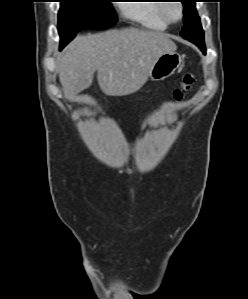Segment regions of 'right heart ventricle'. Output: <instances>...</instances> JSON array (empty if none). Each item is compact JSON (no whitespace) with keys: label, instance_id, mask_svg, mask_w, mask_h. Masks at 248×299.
<instances>
[{"label":"right heart ventricle","instance_id":"obj_1","mask_svg":"<svg viewBox=\"0 0 248 299\" xmlns=\"http://www.w3.org/2000/svg\"><path fill=\"white\" fill-rule=\"evenodd\" d=\"M140 3H129L122 7V13L129 19L140 25L164 31L168 23L162 18L160 8L163 3L160 0H142Z\"/></svg>","mask_w":248,"mask_h":299}]
</instances>
